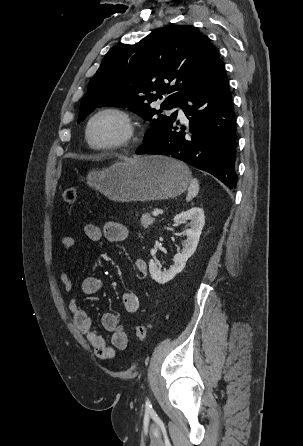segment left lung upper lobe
I'll use <instances>...</instances> for the list:
<instances>
[{"mask_svg": "<svg viewBox=\"0 0 303 446\" xmlns=\"http://www.w3.org/2000/svg\"><path fill=\"white\" fill-rule=\"evenodd\" d=\"M217 49L190 25L156 30L134 45L113 47L88 84L81 100L78 123L96 107L118 106L150 121L144 144L155 139L173 119L164 115L211 68ZM170 82L173 85L170 86ZM156 91L157 94L151 92ZM168 97L161 109L150 103Z\"/></svg>", "mask_w": 303, "mask_h": 446, "instance_id": "left-lung-upper-lobe-1", "label": "left lung upper lobe"}]
</instances>
